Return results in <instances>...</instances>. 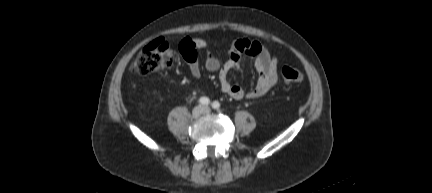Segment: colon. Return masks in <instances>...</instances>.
Masks as SVG:
<instances>
[{
  "label": "colon",
  "mask_w": 432,
  "mask_h": 193,
  "mask_svg": "<svg viewBox=\"0 0 432 193\" xmlns=\"http://www.w3.org/2000/svg\"><path fill=\"white\" fill-rule=\"evenodd\" d=\"M177 60L175 48L162 38L146 45L131 65L130 70L138 75H149L173 65ZM281 77L286 84L301 83L303 73L292 67H283Z\"/></svg>",
  "instance_id": "obj_1"
}]
</instances>
